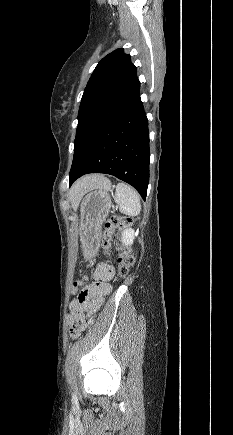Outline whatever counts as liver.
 Here are the masks:
<instances>
[{
	"label": "liver",
	"mask_w": 233,
	"mask_h": 435,
	"mask_svg": "<svg viewBox=\"0 0 233 435\" xmlns=\"http://www.w3.org/2000/svg\"><path fill=\"white\" fill-rule=\"evenodd\" d=\"M107 181L103 175L93 174L84 176L74 183L69 191L68 198L73 203V206H76L86 192L105 185Z\"/></svg>",
	"instance_id": "6515ba94"
}]
</instances>
